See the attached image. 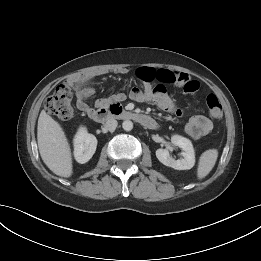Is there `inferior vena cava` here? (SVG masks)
<instances>
[{"instance_id":"602c4592","label":"inferior vena cava","mask_w":261,"mask_h":261,"mask_svg":"<svg viewBox=\"0 0 261 261\" xmlns=\"http://www.w3.org/2000/svg\"><path fill=\"white\" fill-rule=\"evenodd\" d=\"M117 125H118V122L114 118L108 119L105 123L106 129L111 132H113L116 129Z\"/></svg>"}]
</instances>
